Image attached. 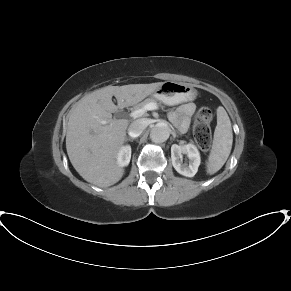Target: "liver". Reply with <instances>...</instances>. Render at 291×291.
<instances>
[{
  "mask_svg": "<svg viewBox=\"0 0 291 291\" xmlns=\"http://www.w3.org/2000/svg\"><path fill=\"white\" fill-rule=\"evenodd\" d=\"M161 84L109 85L84 96L71 109L66 149L71 164L84 180L109 187L122 178L124 169L118 165L117 155L126 141L129 121L112 119V113L139 103Z\"/></svg>",
  "mask_w": 291,
  "mask_h": 291,
  "instance_id": "obj_1",
  "label": "liver"
}]
</instances>
